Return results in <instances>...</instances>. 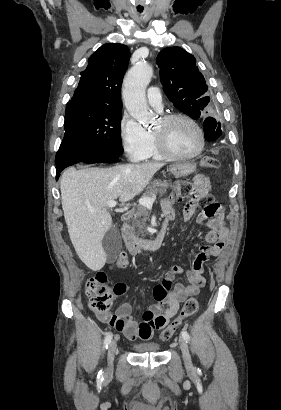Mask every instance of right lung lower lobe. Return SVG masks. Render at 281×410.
Listing matches in <instances>:
<instances>
[{"mask_svg":"<svg viewBox=\"0 0 281 410\" xmlns=\"http://www.w3.org/2000/svg\"><path fill=\"white\" fill-rule=\"evenodd\" d=\"M120 154L115 153H95V154H78L64 158L58 164H56V180L60 176V172L73 164L84 163H113L119 159Z\"/></svg>","mask_w":281,"mask_h":410,"instance_id":"1","label":"right lung lower lobe"}]
</instances>
